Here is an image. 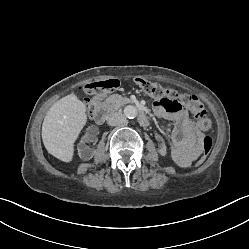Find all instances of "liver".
<instances>
[{
  "label": "liver",
  "instance_id": "1",
  "mask_svg": "<svg viewBox=\"0 0 249 249\" xmlns=\"http://www.w3.org/2000/svg\"><path fill=\"white\" fill-rule=\"evenodd\" d=\"M86 123V106L75 94L58 100L47 112L42 125L46 150L63 162H71L74 143Z\"/></svg>",
  "mask_w": 249,
  "mask_h": 249
}]
</instances>
